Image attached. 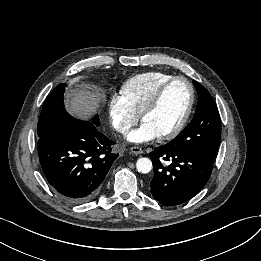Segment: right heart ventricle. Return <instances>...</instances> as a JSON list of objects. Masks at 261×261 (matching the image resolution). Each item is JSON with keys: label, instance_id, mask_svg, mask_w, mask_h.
<instances>
[{"label": "right heart ventricle", "instance_id": "e07e8e85", "mask_svg": "<svg viewBox=\"0 0 261 261\" xmlns=\"http://www.w3.org/2000/svg\"><path fill=\"white\" fill-rule=\"evenodd\" d=\"M172 77V74L159 70L137 74L122 84L121 94L135 112L141 115L159 88Z\"/></svg>", "mask_w": 261, "mask_h": 261}]
</instances>
